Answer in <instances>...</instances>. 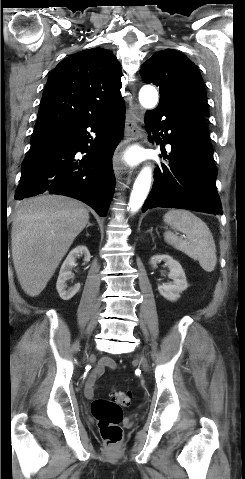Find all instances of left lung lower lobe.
I'll return each instance as SVG.
<instances>
[{
    "label": "left lung lower lobe",
    "instance_id": "1",
    "mask_svg": "<svg viewBox=\"0 0 245 479\" xmlns=\"http://www.w3.org/2000/svg\"><path fill=\"white\" fill-rule=\"evenodd\" d=\"M145 127L153 134L164 131V141L156 136L153 139L157 144L169 143L171 153H163L169 163L156 168L142 211L163 207L222 214L215 185L217 168L205 118L195 114L171 115L157 108L146 113Z\"/></svg>",
    "mask_w": 245,
    "mask_h": 479
}]
</instances>
